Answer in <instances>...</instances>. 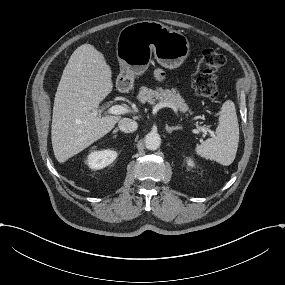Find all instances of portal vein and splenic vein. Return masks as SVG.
Instances as JSON below:
<instances>
[{"label":"portal vein and splenic vein","mask_w":285,"mask_h":285,"mask_svg":"<svg viewBox=\"0 0 285 285\" xmlns=\"http://www.w3.org/2000/svg\"><path fill=\"white\" fill-rule=\"evenodd\" d=\"M126 111V109L122 106H119V105H113L111 106L110 108H108L104 113L103 115L104 116H107V115H120V114H123L124 112ZM94 115H99V112L98 111H95L94 112ZM202 136L203 137H206L207 136V130L206 129H203V133H202ZM210 136L211 137H214V134L213 133H210Z\"/></svg>","instance_id":"obj_1"}]
</instances>
